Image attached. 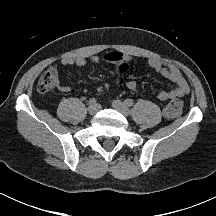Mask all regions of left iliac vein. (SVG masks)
Segmentation results:
<instances>
[{"label": "left iliac vein", "instance_id": "4c4485c4", "mask_svg": "<svg viewBox=\"0 0 216 216\" xmlns=\"http://www.w3.org/2000/svg\"><path fill=\"white\" fill-rule=\"evenodd\" d=\"M112 106H113V108L115 110H117L118 112H120L122 115H124V116H128L129 115V109L126 106V104L123 103L122 101H120V100H114L112 102Z\"/></svg>", "mask_w": 216, "mask_h": 216}]
</instances>
